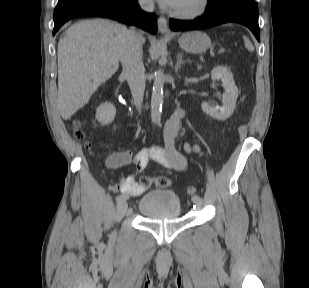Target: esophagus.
<instances>
[{
    "label": "esophagus",
    "instance_id": "34e87169",
    "mask_svg": "<svg viewBox=\"0 0 309 288\" xmlns=\"http://www.w3.org/2000/svg\"><path fill=\"white\" fill-rule=\"evenodd\" d=\"M158 30L163 35H168L170 33L167 20L163 16L158 18Z\"/></svg>",
    "mask_w": 309,
    "mask_h": 288
}]
</instances>
